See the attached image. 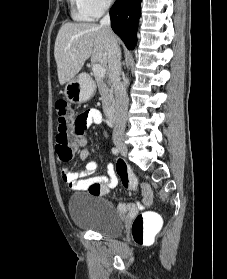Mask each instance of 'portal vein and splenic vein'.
<instances>
[{"instance_id": "1", "label": "portal vein and splenic vein", "mask_w": 227, "mask_h": 279, "mask_svg": "<svg viewBox=\"0 0 227 279\" xmlns=\"http://www.w3.org/2000/svg\"><path fill=\"white\" fill-rule=\"evenodd\" d=\"M92 70H93L95 76H97L99 78H104L105 77L106 70L102 65L93 64L92 65Z\"/></svg>"}]
</instances>
